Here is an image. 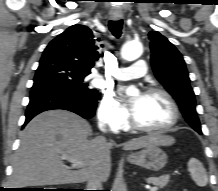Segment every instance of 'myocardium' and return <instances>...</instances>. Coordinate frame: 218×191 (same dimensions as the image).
<instances>
[{"label":"myocardium","instance_id":"myocardium-1","mask_svg":"<svg viewBox=\"0 0 218 191\" xmlns=\"http://www.w3.org/2000/svg\"><path fill=\"white\" fill-rule=\"evenodd\" d=\"M146 94L163 96L171 106L172 113H173L172 120L169 124H167L164 127L149 128V127L140 125L135 119L134 115H132L131 116V126L138 131L150 133V134H161V133H165V132L172 130L178 124L179 119H180V109L175 99L172 97V95L169 92H167L164 89L157 88V87L148 88L146 91Z\"/></svg>","mask_w":218,"mask_h":191}]
</instances>
